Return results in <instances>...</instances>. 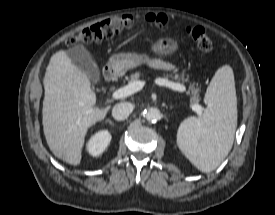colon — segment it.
Masks as SVG:
<instances>
[{
	"label": "colon",
	"instance_id": "colon-1",
	"mask_svg": "<svg viewBox=\"0 0 275 215\" xmlns=\"http://www.w3.org/2000/svg\"><path fill=\"white\" fill-rule=\"evenodd\" d=\"M144 19L146 22L160 28L167 24V18L161 14H149L146 15ZM133 25L134 18L131 15L124 14L114 16L68 37L65 40V44L72 46L78 43H98L104 39L111 38L121 32L129 30ZM187 34L201 51L209 52L213 49V42L203 28L190 26L187 28Z\"/></svg>",
	"mask_w": 275,
	"mask_h": 215
}]
</instances>
